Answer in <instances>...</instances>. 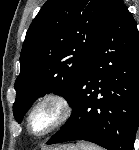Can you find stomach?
Instances as JSON below:
<instances>
[{
    "label": "stomach",
    "mask_w": 139,
    "mask_h": 150,
    "mask_svg": "<svg viewBox=\"0 0 139 150\" xmlns=\"http://www.w3.org/2000/svg\"><path fill=\"white\" fill-rule=\"evenodd\" d=\"M52 150H79L77 146L73 145H64L57 148H54Z\"/></svg>",
    "instance_id": "0dacf381"
}]
</instances>
